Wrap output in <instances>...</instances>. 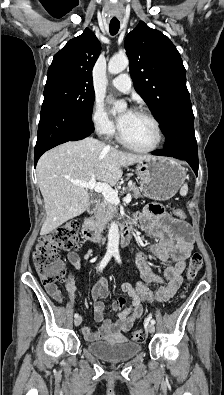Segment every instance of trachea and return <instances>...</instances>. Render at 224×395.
I'll return each mask as SVG.
<instances>
[{"mask_svg": "<svg viewBox=\"0 0 224 395\" xmlns=\"http://www.w3.org/2000/svg\"><path fill=\"white\" fill-rule=\"evenodd\" d=\"M109 28H110L111 35L117 34L119 31V28H120V22L119 21H113V22L111 21Z\"/></svg>", "mask_w": 224, "mask_h": 395, "instance_id": "1", "label": "trachea"}]
</instances>
